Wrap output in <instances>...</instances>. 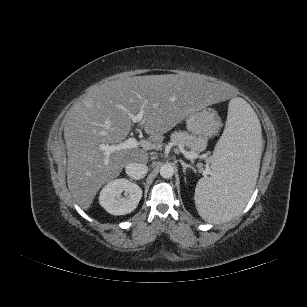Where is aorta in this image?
Returning <instances> with one entry per match:
<instances>
[{
    "label": "aorta",
    "instance_id": "aorta-1",
    "mask_svg": "<svg viewBox=\"0 0 307 307\" xmlns=\"http://www.w3.org/2000/svg\"><path fill=\"white\" fill-rule=\"evenodd\" d=\"M160 175L165 179H169L174 175V168L170 164H164L160 168Z\"/></svg>",
    "mask_w": 307,
    "mask_h": 307
}]
</instances>
